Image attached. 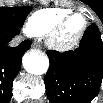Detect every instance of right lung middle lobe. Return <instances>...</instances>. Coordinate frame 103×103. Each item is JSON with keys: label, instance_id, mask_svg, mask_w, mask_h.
<instances>
[{"label": "right lung middle lobe", "instance_id": "1", "mask_svg": "<svg viewBox=\"0 0 103 103\" xmlns=\"http://www.w3.org/2000/svg\"><path fill=\"white\" fill-rule=\"evenodd\" d=\"M30 11L29 6L0 8V26L22 27Z\"/></svg>", "mask_w": 103, "mask_h": 103}]
</instances>
